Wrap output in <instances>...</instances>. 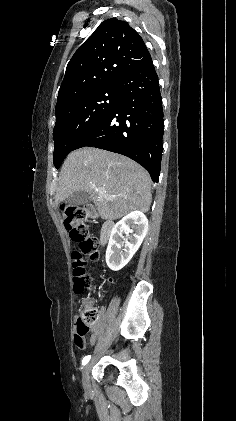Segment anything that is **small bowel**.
Returning <instances> with one entry per match:
<instances>
[{
    "label": "small bowel",
    "mask_w": 236,
    "mask_h": 421,
    "mask_svg": "<svg viewBox=\"0 0 236 421\" xmlns=\"http://www.w3.org/2000/svg\"><path fill=\"white\" fill-rule=\"evenodd\" d=\"M109 282H112V280H109ZM102 328V322L98 323L97 325H95V327L93 328V333L91 334L89 341L92 343L94 336L96 335V333Z\"/></svg>",
    "instance_id": "small-bowel-1"
}]
</instances>
